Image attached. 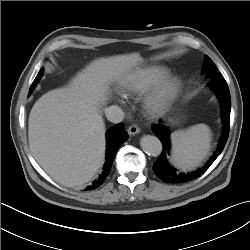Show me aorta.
Instances as JSON below:
<instances>
[{
	"instance_id": "762f6f07",
	"label": "aorta",
	"mask_w": 250,
	"mask_h": 250,
	"mask_svg": "<svg viewBox=\"0 0 250 250\" xmlns=\"http://www.w3.org/2000/svg\"><path fill=\"white\" fill-rule=\"evenodd\" d=\"M140 145L145 153L151 156H158L162 152L161 141L153 135H145L141 138Z\"/></svg>"
}]
</instances>
